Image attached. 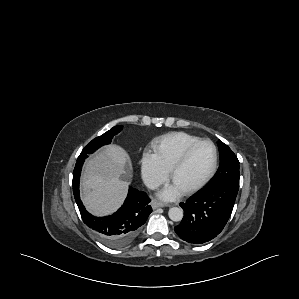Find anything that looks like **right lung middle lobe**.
Here are the masks:
<instances>
[{
  "label": "right lung middle lobe",
  "instance_id": "dd1d6c3e",
  "mask_svg": "<svg viewBox=\"0 0 299 299\" xmlns=\"http://www.w3.org/2000/svg\"><path fill=\"white\" fill-rule=\"evenodd\" d=\"M121 130L122 125H118L111 128L103 135L96 137L82 150L79 157H87L88 154L93 153L96 149L100 148L101 146L111 143L113 136L118 134Z\"/></svg>",
  "mask_w": 299,
  "mask_h": 299
}]
</instances>
